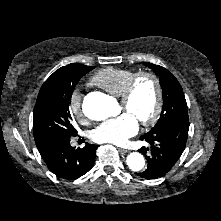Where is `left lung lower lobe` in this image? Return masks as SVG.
Returning <instances> with one entry per match:
<instances>
[{
    "mask_svg": "<svg viewBox=\"0 0 221 221\" xmlns=\"http://www.w3.org/2000/svg\"><path fill=\"white\" fill-rule=\"evenodd\" d=\"M189 121H178L160 130L141 136L150 144L141 152L147 160V169L136 175L145 179H157L170 171L182 155L187 141Z\"/></svg>",
    "mask_w": 221,
    "mask_h": 221,
    "instance_id": "0a47b994",
    "label": "left lung lower lobe"
}]
</instances>
